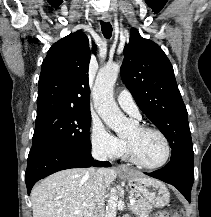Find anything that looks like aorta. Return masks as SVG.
I'll return each mask as SVG.
<instances>
[{
    "label": "aorta",
    "instance_id": "obj_1",
    "mask_svg": "<svg viewBox=\"0 0 211 217\" xmlns=\"http://www.w3.org/2000/svg\"><path fill=\"white\" fill-rule=\"evenodd\" d=\"M120 66V63H112L100 69L93 87L94 106L97 113L118 135L128 130V119L120 111L113 97V88ZM117 203V190L114 189L108 199L105 217H116Z\"/></svg>",
    "mask_w": 211,
    "mask_h": 217
}]
</instances>
